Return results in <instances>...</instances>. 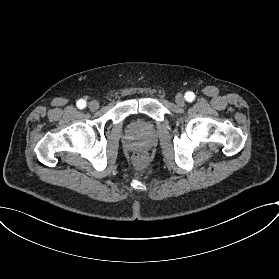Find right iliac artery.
I'll return each mask as SVG.
<instances>
[{
	"label": "right iliac artery",
	"mask_w": 279,
	"mask_h": 279,
	"mask_svg": "<svg viewBox=\"0 0 279 279\" xmlns=\"http://www.w3.org/2000/svg\"><path fill=\"white\" fill-rule=\"evenodd\" d=\"M77 107H78L79 109L85 108V107H86V101L83 100V99L78 100V101H77Z\"/></svg>",
	"instance_id": "82829eb1"
}]
</instances>
